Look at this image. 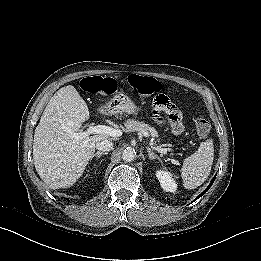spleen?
I'll use <instances>...</instances> for the list:
<instances>
[{
  "label": "spleen",
  "instance_id": "obj_1",
  "mask_svg": "<svg viewBox=\"0 0 261 261\" xmlns=\"http://www.w3.org/2000/svg\"><path fill=\"white\" fill-rule=\"evenodd\" d=\"M213 159L212 142L206 141L195 153L184 160L181 176L186 189H195L206 181L211 171Z\"/></svg>",
  "mask_w": 261,
  "mask_h": 261
}]
</instances>
